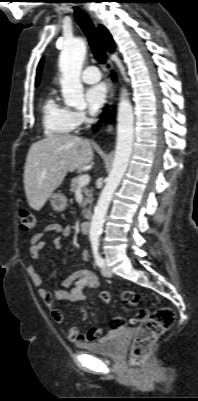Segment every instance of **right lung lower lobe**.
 <instances>
[{"mask_svg": "<svg viewBox=\"0 0 198 401\" xmlns=\"http://www.w3.org/2000/svg\"><path fill=\"white\" fill-rule=\"evenodd\" d=\"M112 77L114 78L115 76L112 75ZM104 112H105L104 117H105L107 120H110V119L112 118V111H107V110H105ZM100 123H101V121L99 122V124H100ZM99 124L97 125V127H99Z\"/></svg>", "mask_w": 198, "mask_h": 401, "instance_id": "1", "label": "right lung lower lobe"}]
</instances>
